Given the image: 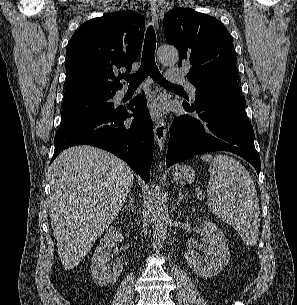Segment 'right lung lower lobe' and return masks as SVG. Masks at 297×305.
Here are the masks:
<instances>
[{
  "mask_svg": "<svg viewBox=\"0 0 297 305\" xmlns=\"http://www.w3.org/2000/svg\"><path fill=\"white\" fill-rule=\"evenodd\" d=\"M134 112L131 124L125 120ZM153 126L143 95L136 96L127 107L94 112L62 127L57 132L51 162L58 154L76 145H92L107 150L127 162L147 183L153 156Z\"/></svg>",
  "mask_w": 297,
  "mask_h": 305,
  "instance_id": "98d812e1",
  "label": "right lung lower lobe"
}]
</instances>
